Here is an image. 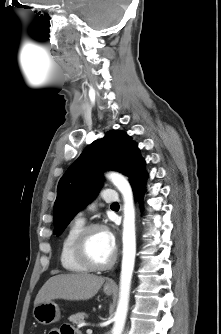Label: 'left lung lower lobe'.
<instances>
[{
  "instance_id": "1",
  "label": "left lung lower lobe",
  "mask_w": 221,
  "mask_h": 334,
  "mask_svg": "<svg viewBox=\"0 0 221 334\" xmlns=\"http://www.w3.org/2000/svg\"><path fill=\"white\" fill-rule=\"evenodd\" d=\"M147 173L142 168L136 176L130 181L135 198L138 197L140 204L142 205L144 192H145V181L147 179Z\"/></svg>"
}]
</instances>
